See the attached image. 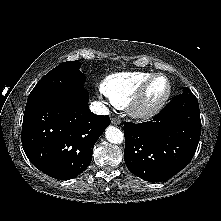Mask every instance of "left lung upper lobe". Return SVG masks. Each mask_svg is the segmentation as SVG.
Returning <instances> with one entry per match:
<instances>
[{"instance_id": "obj_1", "label": "left lung upper lobe", "mask_w": 221, "mask_h": 221, "mask_svg": "<svg viewBox=\"0 0 221 221\" xmlns=\"http://www.w3.org/2000/svg\"><path fill=\"white\" fill-rule=\"evenodd\" d=\"M183 93H191V91H190L187 87H185V88L183 89Z\"/></svg>"}]
</instances>
